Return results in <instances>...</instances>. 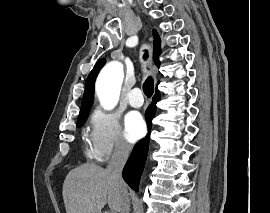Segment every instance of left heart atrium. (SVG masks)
<instances>
[{
  "mask_svg": "<svg viewBox=\"0 0 270 213\" xmlns=\"http://www.w3.org/2000/svg\"><path fill=\"white\" fill-rule=\"evenodd\" d=\"M124 137L128 142H135L145 133V123L137 112L129 113L124 122Z\"/></svg>",
  "mask_w": 270,
  "mask_h": 213,
  "instance_id": "left-heart-atrium-1",
  "label": "left heart atrium"
}]
</instances>
